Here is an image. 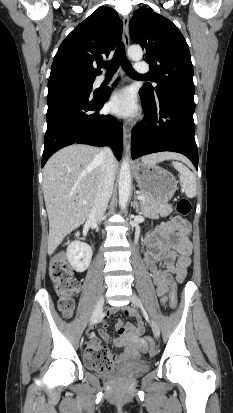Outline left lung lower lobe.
Returning <instances> with one entry per match:
<instances>
[{"label":"left lung lower lobe","mask_w":233,"mask_h":413,"mask_svg":"<svg viewBox=\"0 0 233 413\" xmlns=\"http://www.w3.org/2000/svg\"><path fill=\"white\" fill-rule=\"evenodd\" d=\"M144 120L132 133V158L161 152H178L188 157L198 168L193 113L194 99L176 92H162L151 99L140 90Z\"/></svg>","instance_id":"1"}]
</instances>
